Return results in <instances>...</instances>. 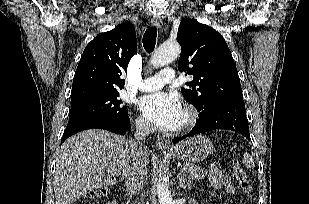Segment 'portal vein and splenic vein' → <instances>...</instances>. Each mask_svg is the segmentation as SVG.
I'll list each match as a JSON object with an SVG mask.
<instances>
[{"mask_svg":"<svg viewBox=\"0 0 309 204\" xmlns=\"http://www.w3.org/2000/svg\"><path fill=\"white\" fill-rule=\"evenodd\" d=\"M179 172H180V173H183V172H184V168H181Z\"/></svg>","mask_w":309,"mask_h":204,"instance_id":"18ae733b","label":"portal vein and splenic vein"}]
</instances>
